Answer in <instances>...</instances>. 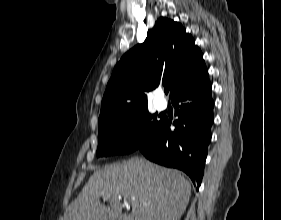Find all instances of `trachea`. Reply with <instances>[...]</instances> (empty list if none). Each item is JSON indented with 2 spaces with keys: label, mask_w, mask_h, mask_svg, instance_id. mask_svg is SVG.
I'll return each instance as SVG.
<instances>
[{
  "label": "trachea",
  "mask_w": 281,
  "mask_h": 220,
  "mask_svg": "<svg viewBox=\"0 0 281 220\" xmlns=\"http://www.w3.org/2000/svg\"><path fill=\"white\" fill-rule=\"evenodd\" d=\"M164 91H165L166 94H168V92H169V87H166V88L164 89Z\"/></svg>",
  "instance_id": "3493384b"
}]
</instances>
